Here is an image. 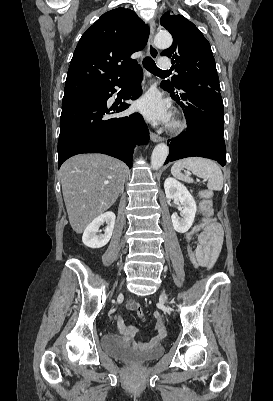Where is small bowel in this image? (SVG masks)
I'll use <instances>...</instances> for the list:
<instances>
[{"label": "small bowel", "mask_w": 273, "mask_h": 401, "mask_svg": "<svg viewBox=\"0 0 273 401\" xmlns=\"http://www.w3.org/2000/svg\"><path fill=\"white\" fill-rule=\"evenodd\" d=\"M205 228H209V225ZM194 232H190L187 236L188 242H191L193 239ZM199 246L193 251L191 247H189V253H194L196 257L199 259L200 264L207 269H211L218 257V254L221 249L222 241H201L200 236L198 238ZM126 307L130 310H135V300L130 299ZM154 317L159 318L157 323L162 325L164 320L161 317L160 311L154 312ZM119 330L123 333V337L121 339L122 344L129 350H138V349H154L158 346L160 339L164 338L167 335L168 330L166 327H157L156 331L157 336L154 337L150 342H142L135 340V337L138 334V330L134 325H127L123 319L118 320Z\"/></svg>", "instance_id": "c3829d8e"}]
</instances>
